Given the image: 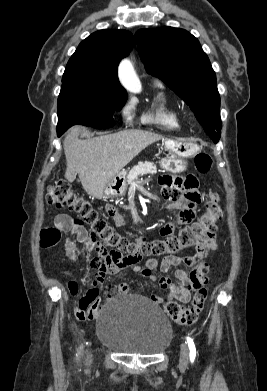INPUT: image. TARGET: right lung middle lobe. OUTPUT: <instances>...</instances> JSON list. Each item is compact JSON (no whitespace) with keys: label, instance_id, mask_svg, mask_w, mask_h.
Wrapping results in <instances>:
<instances>
[{"label":"right lung middle lobe","instance_id":"right-lung-middle-lobe-1","mask_svg":"<svg viewBox=\"0 0 267 391\" xmlns=\"http://www.w3.org/2000/svg\"><path fill=\"white\" fill-rule=\"evenodd\" d=\"M124 89L98 79L76 77L62 80L58 97L57 132L61 135L75 124L106 129L114 126L113 113L125 104Z\"/></svg>","mask_w":267,"mask_h":391}]
</instances>
